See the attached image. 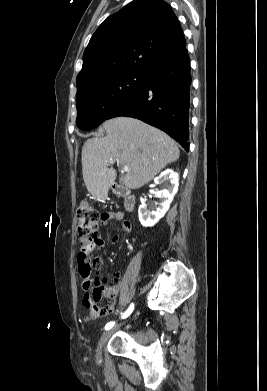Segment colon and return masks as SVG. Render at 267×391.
Instances as JSON below:
<instances>
[{
    "instance_id": "1",
    "label": "colon",
    "mask_w": 267,
    "mask_h": 391,
    "mask_svg": "<svg viewBox=\"0 0 267 391\" xmlns=\"http://www.w3.org/2000/svg\"><path fill=\"white\" fill-rule=\"evenodd\" d=\"M76 220L80 252L91 253L102 245V240L98 236L100 214L91 203L83 201L77 208Z\"/></svg>"
}]
</instances>
